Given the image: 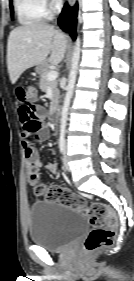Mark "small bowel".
<instances>
[{
  "label": "small bowel",
  "instance_id": "c3829d8e",
  "mask_svg": "<svg viewBox=\"0 0 134 281\" xmlns=\"http://www.w3.org/2000/svg\"><path fill=\"white\" fill-rule=\"evenodd\" d=\"M26 91L27 89L22 85L16 87V96L20 103L18 115L23 127L22 146L27 160V168L30 170L32 168L44 167L49 172L55 173L57 171V163L53 161L44 164L31 141V137H34L38 143H43L50 137V129L43 122L46 111L41 105L28 102ZM52 154L55 155L53 151Z\"/></svg>",
  "mask_w": 134,
  "mask_h": 281
}]
</instances>
